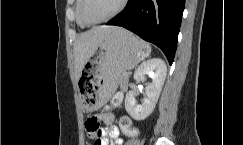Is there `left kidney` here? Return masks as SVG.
Listing matches in <instances>:
<instances>
[{
	"mask_svg": "<svg viewBox=\"0 0 243 145\" xmlns=\"http://www.w3.org/2000/svg\"><path fill=\"white\" fill-rule=\"evenodd\" d=\"M167 67L160 58H153L144 61L135 71L134 79L137 82H144L145 75H153L152 82L145 88L146 97L140 105L136 104V91L131 90L125 97V109L135 120L146 119L154 110L159 99L164 81L166 79Z\"/></svg>",
	"mask_w": 243,
	"mask_h": 145,
	"instance_id": "obj_1",
	"label": "left kidney"
}]
</instances>
